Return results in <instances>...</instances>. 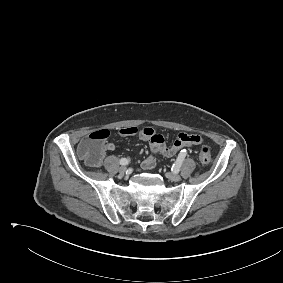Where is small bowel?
Returning <instances> with one entry per match:
<instances>
[{
    "instance_id": "1",
    "label": "small bowel",
    "mask_w": 283,
    "mask_h": 283,
    "mask_svg": "<svg viewBox=\"0 0 283 283\" xmlns=\"http://www.w3.org/2000/svg\"><path fill=\"white\" fill-rule=\"evenodd\" d=\"M118 134L122 137L138 136L140 139L149 142L152 154L147 156L141 164L145 170L153 169L156 166L155 155L172 157L183 148H189L203 142V138L198 134L180 133L173 144L167 146L164 137L150 127H124L118 130ZM114 149L115 145L111 142H107L103 146L104 152H110Z\"/></svg>"
}]
</instances>
